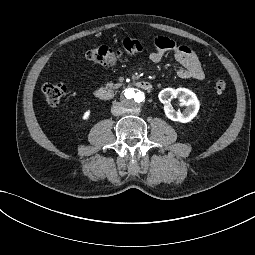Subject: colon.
<instances>
[{
    "label": "colon",
    "mask_w": 255,
    "mask_h": 255,
    "mask_svg": "<svg viewBox=\"0 0 255 255\" xmlns=\"http://www.w3.org/2000/svg\"><path fill=\"white\" fill-rule=\"evenodd\" d=\"M143 50V45L139 40L133 37L126 38L123 41L122 48L112 49L108 46H94L87 50L86 57L100 64H113L120 61L124 57L132 56L140 53ZM226 89V83L223 80L215 82V90L217 93H223ZM67 88L63 83H46L42 87V92L47 103L51 106H56L60 103L65 95Z\"/></svg>",
    "instance_id": "5ec220e1"
}]
</instances>
